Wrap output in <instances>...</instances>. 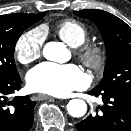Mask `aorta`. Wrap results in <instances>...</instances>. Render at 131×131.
<instances>
[{
    "label": "aorta",
    "instance_id": "obj_1",
    "mask_svg": "<svg viewBox=\"0 0 131 131\" xmlns=\"http://www.w3.org/2000/svg\"><path fill=\"white\" fill-rule=\"evenodd\" d=\"M65 52V46L57 42H49L43 49L44 57L51 61H61ZM67 111L72 117H82L87 111V104L81 99H72L67 104Z\"/></svg>",
    "mask_w": 131,
    "mask_h": 131
}]
</instances>
